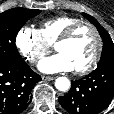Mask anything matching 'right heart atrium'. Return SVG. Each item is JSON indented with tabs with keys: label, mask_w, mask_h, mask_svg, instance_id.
I'll return each mask as SVG.
<instances>
[{
	"label": "right heart atrium",
	"mask_w": 114,
	"mask_h": 114,
	"mask_svg": "<svg viewBox=\"0 0 114 114\" xmlns=\"http://www.w3.org/2000/svg\"><path fill=\"white\" fill-rule=\"evenodd\" d=\"M15 46L22 57L31 64L38 63L51 47L37 29L29 26H23L18 30Z\"/></svg>",
	"instance_id": "1"
}]
</instances>
